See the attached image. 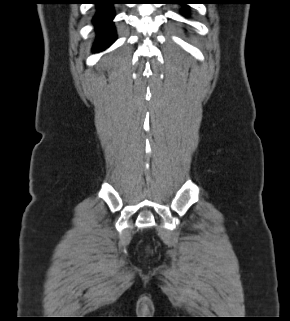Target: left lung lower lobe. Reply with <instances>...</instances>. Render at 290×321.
Segmentation results:
<instances>
[{
    "label": "left lung lower lobe",
    "mask_w": 290,
    "mask_h": 321,
    "mask_svg": "<svg viewBox=\"0 0 290 321\" xmlns=\"http://www.w3.org/2000/svg\"><path fill=\"white\" fill-rule=\"evenodd\" d=\"M199 3V0H177V4H193Z\"/></svg>",
    "instance_id": "0a47b994"
}]
</instances>
